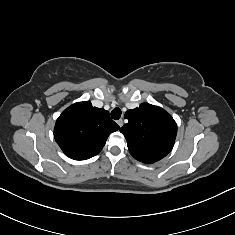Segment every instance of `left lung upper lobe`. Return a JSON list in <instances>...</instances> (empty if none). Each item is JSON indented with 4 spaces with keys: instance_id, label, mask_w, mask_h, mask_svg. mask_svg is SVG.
Instances as JSON below:
<instances>
[{
    "instance_id": "left-lung-upper-lobe-1",
    "label": "left lung upper lobe",
    "mask_w": 235,
    "mask_h": 235,
    "mask_svg": "<svg viewBox=\"0 0 235 235\" xmlns=\"http://www.w3.org/2000/svg\"><path fill=\"white\" fill-rule=\"evenodd\" d=\"M128 119L120 132L127 140L131 155L146 164L165 157L173 148L177 125L164 109L142 103L139 108L128 110Z\"/></svg>"
}]
</instances>
